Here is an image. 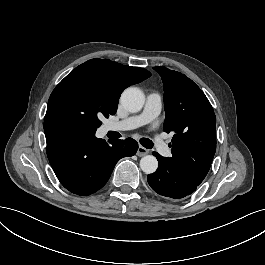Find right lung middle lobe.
I'll return each mask as SVG.
<instances>
[{
	"mask_svg": "<svg viewBox=\"0 0 265 265\" xmlns=\"http://www.w3.org/2000/svg\"><path fill=\"white\" fill-rule=\"evenodd\" d=\"M118 99L98 70L78 66L53 90L44 123L58 122L95 133L102 116L116 113Z\"/></svg>",
	"mask_w": 265,
	"mask_h": 265,
	"instance_id": "right-lung-middle-lobe-1",
	"label": "right lung middle lobe"
}]
</instances>
